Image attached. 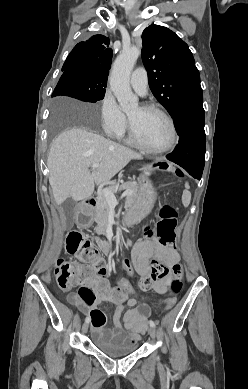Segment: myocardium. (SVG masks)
<instances>
[{
  "label": "myocardium",
  "mask_w": 248,
  "mask_h": 389,
  "mask_svg": "<svg viewBox=\"0 0 248 389\" xmlns=\"http://www.w3.org/2000/svg\"><path fill=\"white\" fill-rule=\"evenodd\" d=\"M140 107L145 109V110H151V111L157 112L168 122L169 127H170V132H171L170 140L165 146L160 147V148H150V147L146 146L138 137V135L135 131L133 122L128 117V133H129V137H130L131 141L139 149H141L142 151H144L148 154L157 155V154H162V153H165V152L171 150L175 146V144L177 142V137H178L177 128H176V125H175L173 118L163 108H161L157 104L146 102V103L141 104Z\"/></svg>",
  "instance_id": "f54148a6"
}]
</instances>
